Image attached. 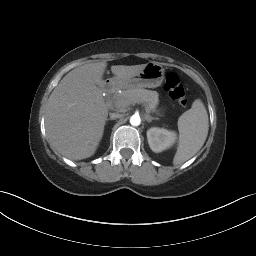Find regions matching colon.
<instances>
[{"label": "colon", "mask_w": 256, "mask_h": 256, "mask_svg": "<svg viewBox=\"0 0 256 256\" xmlns=\"http://www.w3.org/2000/svg\"><path fill=\"white\" fill-rule=\"evenodd\" d=\"M164 88L168 92L169 96L181 106H185L187 104L185 89L179 76L175 72H168L165 74Z\"/></svg>", "instance_id": "colon-1"}]
</instances>
